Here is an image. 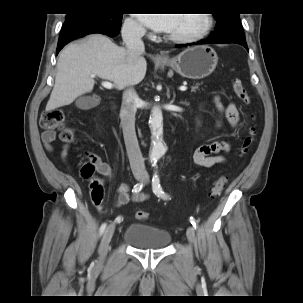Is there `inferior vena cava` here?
Instances as JSON below:
<instances>
[{
  "mask_svg": "<svg viewBox=\"0 0 303 303\" xmlns=\"http://www.w3.org/2000/svg\"><path fill=\"white\" fill-rule=\"evenodd\" d=\"M121 33L127 48L128 57L131 61H137L145 51L144 43L141 39L144 29L135 22L127 21L123 24ZM138 103L139 97L134 88H127L123 92L120 117L132 172L134 175H143L146 173L144 159L135 133V114Z\"/></svg>",
  "mask_w": 303,
  "mask_h": 303,
  "instance_id": "602c4592",
  "label": "inferior vena cava"
}]
</instances>
